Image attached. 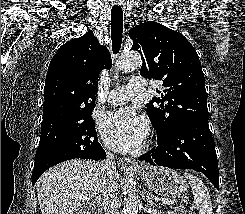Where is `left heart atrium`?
<instances>
[{"mask_svg":"<svg viewBox=\"0 0 245 214\" xmlns=\"http://www.w3.org/2000/svg\"><path fill=\"white\" fill-rule=\"evenodd\" d=\"M98 127L106 145L119 152L138 148L148 133L147 121L131 108H120L103 114Z\"/></svg>","mask_w":245,"mask_h":214,"instance_id":"39dd6f15","label":"left heart atrium"}]
</instances>
